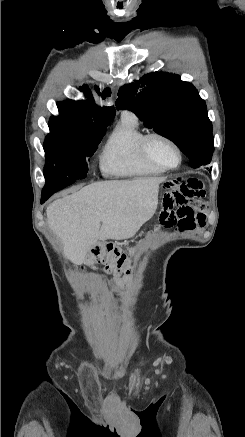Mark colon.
Returning a JSON list of instances; mask_svg holds the SVG:
<instances>
[{
	"mask_svg": "<svg viewBox=\"0 0 245 437\" xmlns=\"http://www.w3.org/2000/svg\"><path fill=\"white\" fill-rule=\"evenodd\" d=\"M161 227H163V224L157 225V229ZM134 253V250L126 253L113 244H105L94 251L88 266L91 269H96L98 265H104L107 272L114 275H121L129 271L131 257Z\"/></svg>",
	"mask_w": 245,
	"mask_h": 437,
	"instance_id": "5ec220e1",
	"label": "colon"
}]
</instances>
